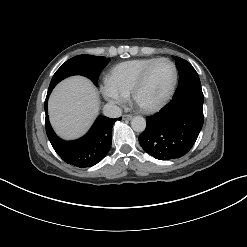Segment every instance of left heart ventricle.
I'll list each match as a JSON object with an SVG mask.
<instances>
[{
    "mask_svg": "<svg viewBox=\"0 0 247 247\" xmlns=\"http://www.w3.org/2000/svg\"><path fill=\"white\" fill-rule=\"evenodd\" d=\"M172 80L173 68L170 63L161 61L155 64L138 94L139 104L152 106L160 102L167 94Z\"/></svg>",
    "mask_w": 247,
    "mask_h": 247,
    "instance_id": "1",
    "label": "left heart ventricle"
}]
</instances>
